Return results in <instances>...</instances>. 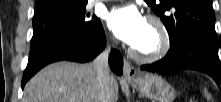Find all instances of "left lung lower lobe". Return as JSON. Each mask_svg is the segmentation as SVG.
I'll return each mask as SVG.
<instances>
[{
	"instance_id": "1",
	"label": "left lung lower lobe",
	"mask_w": 221,
	"mask_h": 102,
	"mask_svg": "<svg viewBox=\"0 0 221 102\" xmlns=\"http://www.w3.org/2000/svg\"><path fill=\"white\" fill-rule=\"evenodd\" d=\"M141 69L150 72L198 70L210 75L219 87L221 82L217 47L197 36H185L170 44V50L162 60L141 66Z\"/></svg>"
}]
</instances>
